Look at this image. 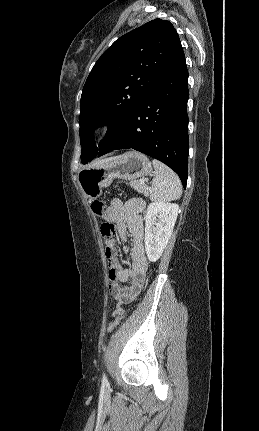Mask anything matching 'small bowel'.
I'll use <instances>...</instances> for the list:
<instances>
[{"label": "small bowel", "instance_id": "small-bowel-1", "mask_svg": "<svg viewBox=\"0 0 259 431\" xmlns=\"http://www.w3.org/2000/svg\"><path fill=\"white\" fill-rule=\"evenodd\" d=\"M143 207L144 202L140 199L125 203L120 199H113L105 213V219L115 224L120 240L126 242L128 237L132 240L130 267L123 266L119 261L116 240L111 238L105 242L109 290L117 303L113 316L123 313L122 305L132 302L140 294L148 270L143 244Z\"/></svg>", "mask_w": 259, "mask_h": 431}]
</instances>
